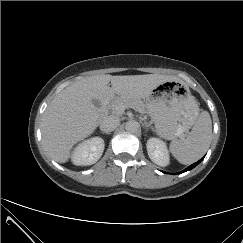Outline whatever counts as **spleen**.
<instances>
[{
	"instance_id": "spleen-1",
	"label": "spleen",
	"mask_w": 243,
	"mask_h": 243,
	"mask_svg": "<svg viewBox=\"0 0 243 243\" xmlns=\"http://www.w3.org/2000/svg\"><path fill=\"white\" fill-rule=\"evenodd\" d=\"M212 135V121L207 111L197 114L194 126L186 138L173 140L170 152L182 164L198 161L206 153Z\"/></svg>"
}]
</instances>
